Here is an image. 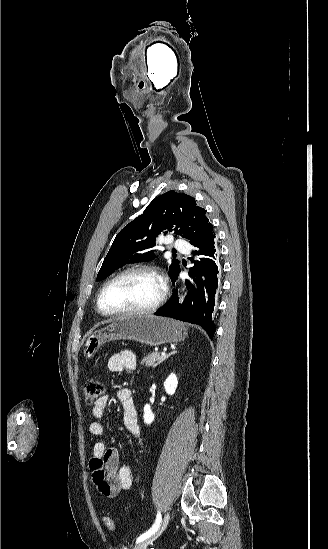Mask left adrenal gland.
<instances>
[{"instance_id": "1", "label": "left adrenal gland", "mask_w": 328, "mask_h": 549, "mask_svg": "<svg viewBox=\"0 0 328 549\" xmlns=\"http://www.w3.org/2000/svg\"><path fill=\"white\" fill-rule=\"evenodd\" d=\"M173 353H177V351H173ZM173 353H171V355H173ZM169 357H170V355H169Z\"/></svg>"}]
</instances>
